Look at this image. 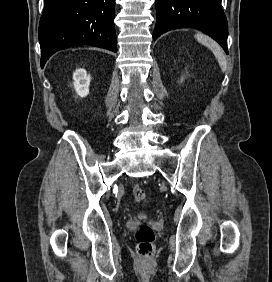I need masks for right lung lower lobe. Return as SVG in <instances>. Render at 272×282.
<instances>
[{
  "label": "right lung lower lobe",
  "mask_w": 272,
  "mask_h": 282,
  "mask_svg": "<svg viewBox=\"0 0 272 282\" xmlns=\"http://www.w3.org/2000/svg\"><path fill=\"white\" fill-rule=\"evenodd\" d=\"M115 0H45L40 19L41 67L51 55L76 45L117 52Z\"/></svg>",
  "instance_id": "98d812e1"
}]
</instances>
